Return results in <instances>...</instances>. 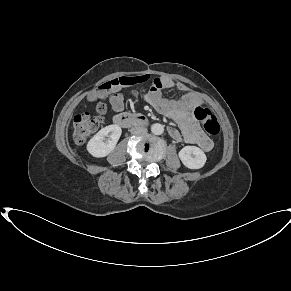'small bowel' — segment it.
Returning <instances> with one entry per match:
<instances>
[{"label":"small bowel","instance_id":"1","mask_svg":"<svg viewBox=\"0 0 291 291\" xmlns=\"http://www.w3.org/2000/svg\"><path fill=\"white\" fill-rule=\"evenodd\" d=\"M143 77L147 79V76ZM172 88L183 91V96L173 100L166 99L163 96L164 90ZM119 90L120 88L113 89L109 97L111 107L116 112L122 111L125 106L124 98ZM144 97L159 113L168 116L179 125L180 130L169 128V134L175 141L197 145L204 151L212 149L213 142L203 133L191 114V110L201 104V99L184 83L169 77H158ZM100 99L102 98L97 91L87 96L89 102H96Z\"/></svg>","mask_w":291,"mask_h":291}]
</instances>
